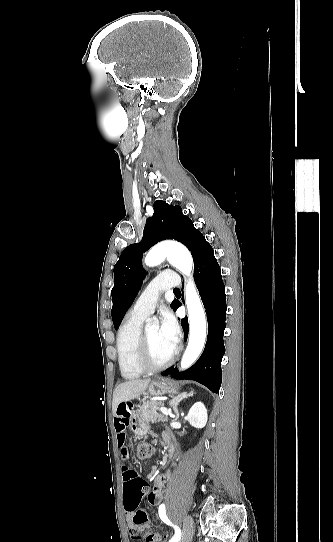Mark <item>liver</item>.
Returning <instances> with one entry per match:
<instances>
[{
	"mask_svg": "<svg viewBox=\"0 0 333 542\" xmlns=\"http://www.w3.org/2000/svg\"><path fill=\"white\" fill-rule=\"evenodd\" d=\"M151 380H128V382H123L115 388L113 392V402H112V412L113 416H116L117 408L121 402H129V400H135V398H140L147 390Z\"/></svg>",
	"mask_w": 333,
	"mask_h": 542,
	"instance_id": "liver-1",
	"label": "liver"
}]
</instances>
